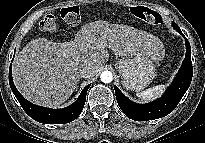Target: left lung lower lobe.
<instances>
[{"instance_id": "obj_1", "label": "left lung lower lobe", "mask_w": 205, "mask_h": 143, "mask_svg": "<svg viewBox=\"0 0 205 143\" xmlns=\"http://www.w3.org/2000/svg\"><path fill=\"white\" fill-rule=\"evenodd\" d=\"M173 27L185 38L186 57L179 72L165 94L152 103L140 105L130 101L115 86L117 103L123 113L132 120L147 121L168 115L176 108L177 104L180 102L190 86L193 76L190 43L176 23H173Z\"/></svg>"}]
</instances>
